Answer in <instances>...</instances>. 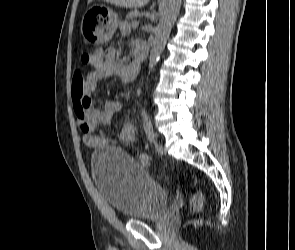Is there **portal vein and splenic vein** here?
Wrapping results in <instances>:
<instances>
[{"label":"portal vein and splenic vein","instance_id":"1","mask_svg":"<svg viewBox=\"0 0 295 250\" xmlns=\"http://www.w3.org/2000/svg\"><path fill=\"white\" fill-rule=\"evenodd\" d=\"M132 25H133V27L139 26V21H134Z\"/></svg>","mask_w":295,"mask_h":250}]
</instances>
